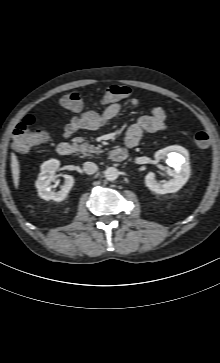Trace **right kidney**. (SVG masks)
<instances>
[{
  "label": "right kidney",
  "mask_w": 220,
  "mask_h": 363,
  "mask_svg": "<svg viewBox=\"0 0 220 363\" xmlns=\"http://www.w3.org/2000/svg\"><path fill=\"white\" fill-rule=\"evenodd\" d=\"M60 162L51 159L41 165V173L35 183L38 194L45 200L62 201L66 198L68 192L74 184V178L71 175H65L64 185L61 190L54 192L51 190V183L54 181V174L58 170Z\"/></svg>",
  "instance_id": "right-kidney-1"
}]
</instances>
